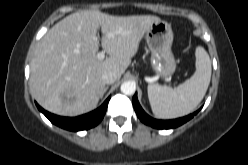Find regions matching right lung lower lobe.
Masks as SVG:
<instances>
[{
	"instance_id": "right-lung-lower-lobe-1",
	"label": "right lung lower lobe",
	"mask_w": 248,
	"mask_h": 165,
	"mask_svg": "<svg viewBox=\"0 0 248 165\" xmlns=\"http://www.w3.org/2000/svg\"><path fill=\"white\" fill-rule=\"evenodd\" d=\"M110 97L96 110L74 118L61 117L51 114L44 109H42L38 104V109L55 125L70 130V131H80L90 129L101 122L103 119L106 109L108 106Z\"/></svg>"
}]
</instances>
